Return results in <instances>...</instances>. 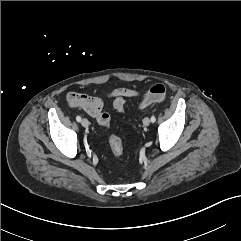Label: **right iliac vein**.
Wrapping results in <instances>:
<instances>
[{
  "instance_id": "right-iliac-vein-1",
  "label": "right iliac vein",
  "mask_w": 241,
  "mask_h": 241,
  "mask_svg": "<svg viewBox=\"0 0 241 241\" xmlns=\"http://www.w3.org/2000/svg\"><path fill=\"white\" fill-rule=\"evenodd\" d=\"M81 125L85 128H87L89 126V121L86 118H83L81 120Z\"/></svg>"
}]
</instances>
